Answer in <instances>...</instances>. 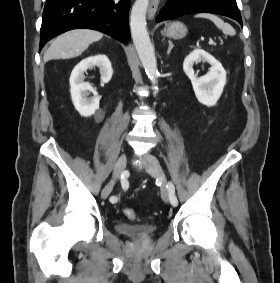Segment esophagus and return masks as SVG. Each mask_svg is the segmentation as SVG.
<instances>
[{
  "instance_id": "34e87169",
  "label": "esophagus",
  "mask_w": 280,
  "mask_h": 283,
  "mask_svg": "<svg viewBox=\"0 0 280 283\" xmlns=\"http://www.w3.org/2000/svg\"><path fill=\"white\" fill-rule=\"evenodd\" d=\"M158 5H159V0H150L149 8H148V18L149 19H152L155 16L156 11L158 9Z\"/></svg>"
}]
</instances>
